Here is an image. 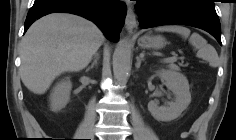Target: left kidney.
I'll return each mask as SVG.
<instances>
[{
	"label": "left kidney",
	"instance_id": "left-kidney-1",
	"mask_svg": "<svg viewBox=\"0 0 236 140\" xmlns=\"http://www.w3.org/2000/svg\"><path fill=\"white\" fill-rule=\"evenodd\" d=\"M158 75L165 81L168 89L175 95V101L160 107L154 101L148 103V110L152 116L160 121H171L178 118L191 102L189 83L187 78L179 72L160 70Z\"/></svg>",
	"mask_w": 236,
	"mask_h": 140
}]
</instances>
